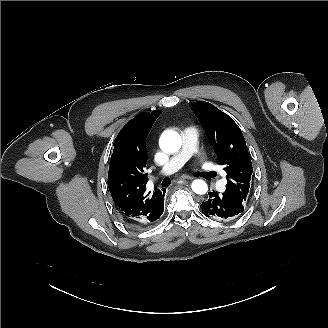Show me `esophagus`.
<instances>
[{
  "label": "esophagus",
  "mask_w": 328,
  "mask_h": 328,
  "mask_svg": "<svg viewBox=\"0 0 328 328\" xmlns=\"http://www.w3.org/2000/svg\"><path fill=\"white\" fill-rule=\"evenodd\" d=\"M180 179H193V177L188 175H182Z\"/></svg>",
  "instance_id": "obj_1"
}]
</instances>
